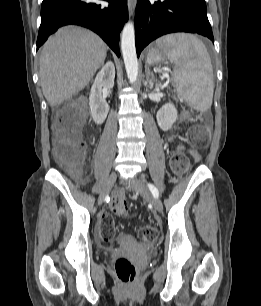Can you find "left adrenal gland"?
Returning a JSON list of instances; mask_svg holds the SVG:
<instances>
[{
  "label": "left adrenal gland",
  "mask_w": 261,
  "mask_h": 306,
  "mask_svg": "<svg viewBox=\"0 0 261 306\" xmlns=\"http://www.w3.org/2000/svg\"><path fill=\"white\" fill-rule=\"evenodd\" d=\"M145 73H146V83L148 84V86L150 88H152L153 85H154V81H155L154 77L155 76H154V73L150 70V68L147 64L145 65Z\"/></svg>",
  "instance_id": "left-adrenal-gland-1"
}]
</instances>
